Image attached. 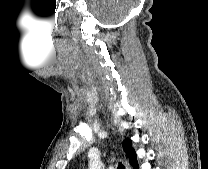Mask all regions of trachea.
Wrapping results in <instances>:
<instances>
[{
	"label": "trachea",
	"mask_w": 208,
	"mask_h": 169,
	"mask_svg": "<svg viewBox=\"0 0 208 169\" xmlns=\"http://www.w3.org/2000/svg\"><path fill=\"white\" fill-rule=\"evenodd\" d=\"M118 169H125V166H123L122 163H119Z\"/></svg>",
	"instance_id": "trachea-1"
}]
</instances>
